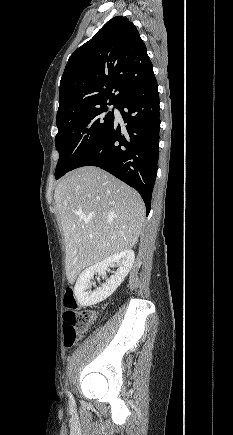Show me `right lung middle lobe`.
Listing matches in <instances>:
<instances>
[{"instance_id":"obj_1","label":"right lung middle lobe","mask_w":233,"mask_h":435,"mask_svg":"<svg viewBox=\"0 0 233 435\" xmlns=\"http://www.w3.org/2000/svg\"><path fill=\"white\" fill-rule=\"evenodd\" d=\"M107 110V106L102 105L56 122L58 133L55 137V146L59 152L55 170L56 179L73 170L74 166L104 137L114 122V113H105Z\"/></svg>"}]
</instances>
